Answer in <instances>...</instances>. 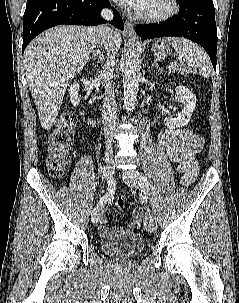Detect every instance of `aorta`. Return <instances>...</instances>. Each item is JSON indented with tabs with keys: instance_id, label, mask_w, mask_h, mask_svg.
<instances>
[{
	"instance_id": "obj_1",
	"label": "aorta",
	"mask_w": 239,
	"mask_h": 303,
	"mask_svg": "<svg viewBox=\"0 0 239 303\" xmlns=\"http://www.w3.org/2000/svg\"><path fill=\"white\" fill-rule=\"evenodd\" d=\"M141 56L140 49L135 48L127 56L123 76L124 108L133 111L137 104V93L141 79Z\"/></svg>"
}]
</instances>
